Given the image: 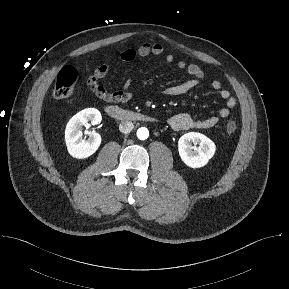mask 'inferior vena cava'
I'll return each instance as SVG.
<instances>
[{"label": "inferior vena cava", "instance_id": "1", "mask_svg": "<svg viewBox=\"0 0 289 289\" xmlns=\"http://www.w3.org/2000/svg\"><path fill=\"white\" fill-rule=\"evenodd\" d=\"M134 128V125L131 121H122L119 124V130L120 132L127 134L130 133Z\"/></svg>", "mask_w": 289, "mask_h": 289}]
</instances>
